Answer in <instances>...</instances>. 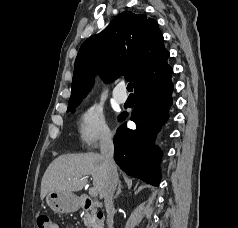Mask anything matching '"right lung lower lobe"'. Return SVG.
Wrapping results in <instances>:
<instances>
[{
  "label": "right lung lower lobe",
  "instance_id": "right-lung-lower-lobe-1",
  "mask_svg": "<svg viewBox=\"0 0 238 228\" xmlns=\"http://www.w3.org/2000/svg\"><path fill=\"white\" fill-rule=\"evenodd\" d=\"M171 74L172 70L166 71L135 91V107L130 119L136 123V129H129L123 123L114 136V159L119 167L126 174L154 186L160 182L162 155L160 149L154 147V141L172 105ZM126 117L127 114L122 113L119 121Z\"/></svg>",
  "mask_w": 238,
  "mask_h": 228
}]
</instances>
